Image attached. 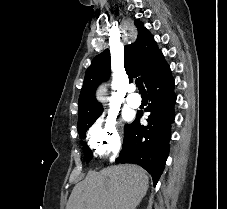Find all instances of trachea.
<instances>
[{
    "label": "trachea",
    "instance_id": "1",
    "mask_svg": "<svg viewBox=\"0 0 227 209\" xmlns=\"http://www.w3.org/2000/svg\"><path fill=\"white\" fill-rule=\"evenodd\" d=\"M136 86L139 88L140 92H146L144 86H143V82L140 78L135 80Z\"/></svg>",
    "mask_w": 227,
    "mask_h": 209
}]
</instances>
